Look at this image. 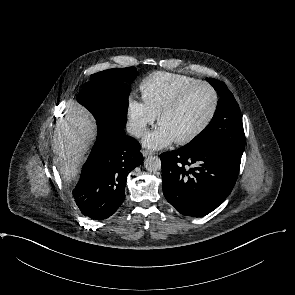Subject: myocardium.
Masks as SVG:
<instances>
[{
	"label": "myocardium",
	"instance_id": "f54148a6",
	"mask_svg": "<svg viewBox=\"0 0 295 295\" xmlns=\"http://www.w3.org/2000/svg\"><path fill=\"white\" fill-rule=\"evenodd\" d=\"M199 86H204V87L208 88L210 90V92L212 93V95H213L212 111H211L209 117L207 118V120L195 132H193L192 134H190L187 137L176 140V142L180 145L189 144V143L195 141L196 139H198L201 135H203L208 130V128L214 122V120L217 116L218 110H219V106H220V96H219L217 89L210 82L198 80V81L190 84L189 86L185 87L182 91H180L176 95V97L170 103H168L158 115V122L161 124L162 119L165 116L178 110L180 108V106L183 104V102L185 101V99L188 97V95L195 88H197Z\"/></svg>",
	"mask_w": 295,
	"mask_h": 295
}]
</instances>
